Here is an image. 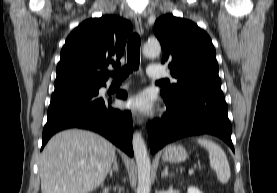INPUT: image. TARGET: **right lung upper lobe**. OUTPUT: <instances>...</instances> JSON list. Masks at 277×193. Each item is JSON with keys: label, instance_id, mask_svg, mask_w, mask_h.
I'll return each mask as SVG.
<instances>
[{"label": "right lung upper lobe", "instance_id": "cb5924a9", "mask_svg": "<svg viewBox=\"0 0 277 193\" xmlns=\"http://www.w3.org/2000/svg\"><path fill=\"white\" fill-rule=\"evenodd\" d=\"M132 24L115 15L82 22L67 37L57 65L55 91L93 89L105 85L108 66L124 53Z\"/></svg>", "mask_w": 277, "mask_h": 193}]
</instances>
